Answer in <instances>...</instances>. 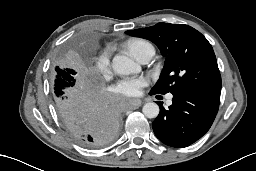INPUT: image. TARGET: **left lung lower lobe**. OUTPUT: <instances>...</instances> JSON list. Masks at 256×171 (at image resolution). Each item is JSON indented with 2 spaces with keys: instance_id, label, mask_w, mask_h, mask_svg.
<instances>
[{
  "instance_id": "1",
  "label": "left lung lower lobe",
  "mask_w": 256,
  "mask_h": 171,
  "mask_svg": "<svg viewBox=\"0 0 256 171\" xmlns=\"http://www.w3.org/2000/svg\"><path fill=\"white\" fill-rule=\"evenodd\" d=\"M151 95L154 93L150 92ZM220 93L184 88L173 93L169 110L160 105L152 123L157 138L166 145L183 148L200 139L218 112Z\"/></svg>"
}]
</instances>
